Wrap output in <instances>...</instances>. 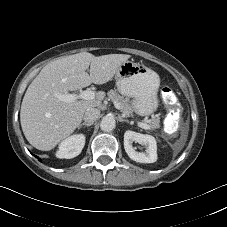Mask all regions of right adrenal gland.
<instances>
[{"mask_svg":"<svg viewBox=\"0 0 227 227\" xmlns=\"http://www.w3.org/2000/svg\"><path fill=\"white\" fill-rule=\"evenodd\" d=\"M92 123H81L77 126L78 129H80L82 126L90 127Z\"/></svg>","mask_w":227,"mask_h":227,"instance_id":"right-adrenal-gland-1","label":"right adrenal gland"}]
</instances>
